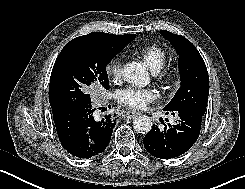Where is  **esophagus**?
Instances as JSON below:
<instances>
[{"instance_id": "34e87169", "label": "esophagus", "mask_w": 245, "mask_h": 189, "mask_svg": "<svg viewBox=\"0 0 245 189\" xmlns=\"http://www.w3.org/2000/svg\"><path fill=\"white\" fill-rule=\"evenodd\" d=\"M136 115H138V112L134 110H129L126 112V117L129 119H133Z\"/></svg>"}]
</instances>
